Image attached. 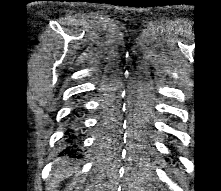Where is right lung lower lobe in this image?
Returning a JSON list of instances; mask_svg holds the SVG:
<instances>
[{
	"label": "right lung lower lobe",
	"mask_w": 221,
	"mask_h": 191,
	"mask_svg": "<svg viewBox=\"0 0 221 191\" xmlns=\"http://www.w3.org/2000/svg\"><path fill=\"white\" fill-rule=\"evenodd\" d=\"M76 116H78V113L76 111L73 112ZM79 117V116H78ZM65 142L68 144L65 154H73L74 157H76V155L74 153H76L78 149V144L76 143V140L78 138L77 133L74 129H68L65 135Z\"/></svg>",
	"instance_id": "right-lung-lower-lobe-1"
}]
</instances>
